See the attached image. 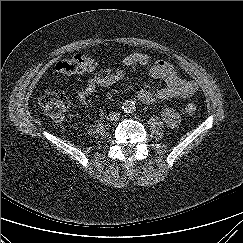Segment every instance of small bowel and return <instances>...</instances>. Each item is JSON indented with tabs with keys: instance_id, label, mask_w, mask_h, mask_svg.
<instances>
[{
	"instance_id": "small-bowel-1",
	"label": "small bowel",
	"mask_w": 243,
	"mask_h": 243,
	"mask_svg": "<svg viewBox=\"0 0 243 243\" xmlns=\"http://www.w3.org/2000/svg\"><path fill=\"white\" fill-rule=\"evenodd\" d=\"M123 65L134 70H145L148 74L165 82V87L158 91L141 89L137 93L139 101L146 105H151L158 100L173 98H187L197 91V84L181 77L174 67L162 60H152L148 55L143 53H133L123 59ZM123 78V71L117 69L113 74L103 76L95 74L87 79L85 87L78 93V100L84 106L90 104V98L99 89L109 87ZM165 123L174 127L179 122L177 111L167 107L162 112Z\"/></svg>"
}]
</instances>
